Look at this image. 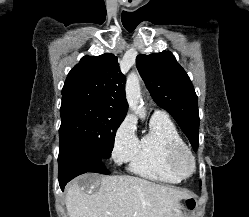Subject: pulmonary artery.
<instances>
[{"mask_svg":"<svg viewBox=\"0 0 249 217\" xmlns=\"http://www.w3.org/2000/svg\"><path fill=\"white\" fill-rule=\"evenodd\" d=\"M153 115H156V116H167V113L163 110H160V109H157L154 111Z\"/></svg>","mask_w":249,"mask_h":217,"instance_id":"obj_1","label":"pulmonary artery"}]
</instances>
